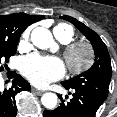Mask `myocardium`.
I'll use <instances>...</instances> for the list:
<instances>
[{
  "label": "myocardium",
  "instance_id": "myocardium-1",
  "mask_svg": "<svg viewBox=\"0 0 117 117\" xmlns=\"http://www.w3.org/2000/svg\"><path fill=\"white\" fill-rule=\"evenodd\" d=\"M64 57L74 73H81L94 61L93 49L85 41L69 43L64 49Z\"/></svg>",
  "mask_w": 117,
  "mask_h": 117
}]
</instances>
